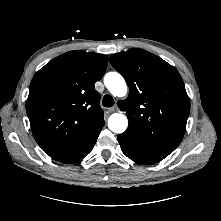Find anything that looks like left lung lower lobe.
Here are the masks:
<instances>
[{
    "label": "left lung lower lobe",
    "instance_id": "0a47b994",
    "mask_svg": "<svg viewBox=\"0 0 221 221\" xmlns=\"http://www.w3.org/2000/svg\"><path fill=\"white\" fill-rule=\"evenodd\" d=\"M117 139L123 153L139 164H154L164 159L168 154L160 153L147 148L138 142L127 130L118 135Z\"/></svg>",
    "mask_w": 221,
    "mask_h": 221
}]
</instances>
